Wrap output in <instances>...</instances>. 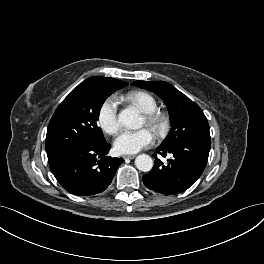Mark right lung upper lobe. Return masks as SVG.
<instances>
[{"instance_id":"obj_1","label":"right lung upper lobe","mask_w":264,"mask_h":264,"mask_svg":"<svg viewBox=\"0 0 264 264\" xmlns=\"http://www.w3.org/2000/svg\"><path fill=\"white\" fill-rule=\"evenodd\" d=\"M86 80H103V81H111V82L120 83V84L126 83V82H123L121 80H116V79L108 78V77H100V76L90 77Z\"/></svg>"}]
</instances>
